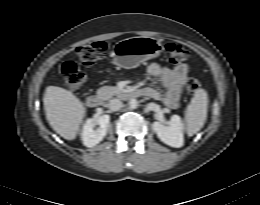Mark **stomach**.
I'll use <instances>...</instances> for the list:
<instances>
[{"instance_id":"1","label":"stomach","mask_w":260,"mask_h":205,"mask_svg":"<svg viewBox=\"0 0 260 205\" xmlns=\"http://www.w3.org/2000/svg\"><path fill=\"white\" fill-rule=\"evenodd\" d=\"M162 52V44L151 37H131L121 40L113 47L115 65L130 69L140 63L158 57Z\"/></svg>"}]
</instances>
